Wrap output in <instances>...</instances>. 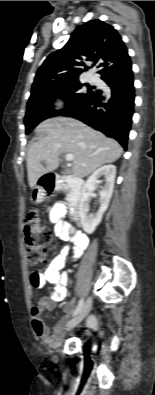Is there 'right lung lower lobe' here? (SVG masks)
Segmentation results:
<instances>
[{"label":"right lung lower lobe","mask_w":155,"mask_h":395,"mask_svg":"<svg viewBox=\"0 0 155 395\" xmlns=\"http://www.w3.org/2000/svg\"><path fill=\"white\" fill-rule=\"evenodd\" d=\"M102 79L111 88L108 95L92 92L62 112L116 139L127 148L134 113V76L132 65L109 71Z\"/></svg>","instance_id":"98d812e1"}]
</instances>
